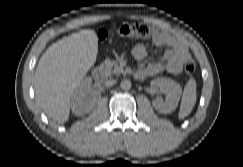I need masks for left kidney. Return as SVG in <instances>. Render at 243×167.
Returning a JSON list of instances; mask_svg holds the SVG:
<instances>
[{
    "instance_id": "5707ae66",
    "label": "left kidney",
    "mask_w": 243,
    "mask_h": 167,
    "mask_svg": "<svg viewBox=\"0 0 243 167\" xmlns=\"http://www.w3.org/2000/svg\"><path fill=\"white\" fill-rule=\"evenodd\" d=\"M151 87L165 94L166 99H156L152 102L153 107L161 113H171L178 105L182 88L169 78H160L151 81Z\"/></svg>"
}]
</instances>
